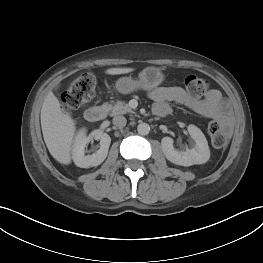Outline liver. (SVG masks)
Returning <instances> with one entry per match:
<instances>
[{
    "instance_id": "liver-1",
    "label": "liver",
    "mask_w": 263,
    "mask_h": 263,
    "mask_svg": "<svg viewBox=\"0 0 263 263\" xmlns=\"http://www.w3.org/2000/svg\"><path fill=\"white\" fill-rule=\"evenodd\" d=\"M133 68H109L106 74L130 73ZM41 128L46 146L55 160L68 165L71 163V147L76 127L71 116L65 113L56 96L49 92L41 109Z\"/></svg>"
}]
</instances>
